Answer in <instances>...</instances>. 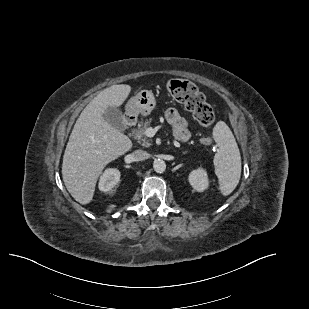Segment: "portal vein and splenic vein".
<instances>
[{"label": "portal vein and splenic vein", "instance_id": "obj_1", "mask_svg": "<svg viewBox=\"0 0 309 309\" xmlns=\"http://www.w3.org/2000/svg\"><path fill=\"white\" fill-rule=\"evenodd\" d=\"M147 132L154 134V130L152 128L147 129Z\"/></svg>", "mask_w": 309, "mask_h": 309}]
</instances>
